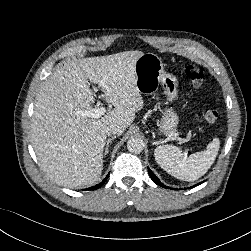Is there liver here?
Masks as SVG:
<instances>
[{
  "label": "liver",
  "mask_w": 251,
  "mask_h": 251,
  "mask_svg": "<svg viewBox=\"0 0 251 251\" xmlns=\"http://www.w3.org/2000/svg\"><path fill=\"white\" fill-rule=\"evenodd\" d=\"M143 54L136 50L68 60L43 82L35 100L31 143L53 182L74 189L100 178L107 127L127 128L143 108L135 79V64ZM88 80L103 81L104 98L115 107L101 118L76 114L95 102Z\"/></svg>",
  "instance_id": "obj_1"
}]
</instances>
